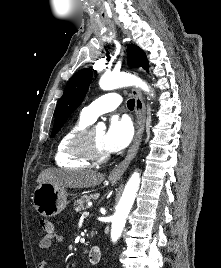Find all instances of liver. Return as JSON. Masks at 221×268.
<instances>
[{
	"label": "liver",
	"instance_id": "1",
	"mask_svg": "<svg viewBox=\"0 0 221 268\" xmlns=\"http://www.w3.org/2000/svg\"><path fill=\"white\" fill-rule=\"evenodd\" d=\"M104 179L102 173L92 170H66L48 168L43 170L37 183H50L60 187L89 188L99 185Z\"/></svg>",
	"mask_w": 221,
	"mask_h": 268
}]
</instances>
